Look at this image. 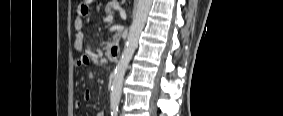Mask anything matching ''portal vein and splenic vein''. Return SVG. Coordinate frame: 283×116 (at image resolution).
I'll return each mask as SVG.
<instances>
[{
    "instance_id": "18ae733b",
    "label": "portal vein and splenic vein",
    "mask_w": 283,
    "mask_h": 116,
    "mask_svg": "<svg viewBox=\"0 0 283 116\" xmlns=\"http://www.w3.org/2000/svg\"><path fill=\"white\" fill-rule=\"evenodd\" d=\"M113 21V16L112 15H108L106 18V22H112Z\"/></svg>"
}]
</instances>
